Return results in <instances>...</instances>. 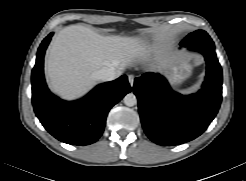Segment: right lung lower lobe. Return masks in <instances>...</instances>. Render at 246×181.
<instances>
[{
	"label": "right lung lower lobe",
	"mask_w": 246,
	"mask_h": 181,
	"mask_svg": "<svg viewBox=\"0 0 246 181\" xmlns=\"http://www.w3.org/2000/svg\"><path fill=\"white\" fill-rule=\"evenodd\" d=\"M53 33L41 43L32 70V103L44 128L71 145H89L102 135L109 110L131 91L127 76L95 87L84 98L66 102L54 96L44 79V54Z\"/></svg>",
	"instance_id": "1"
}]
</instances>
